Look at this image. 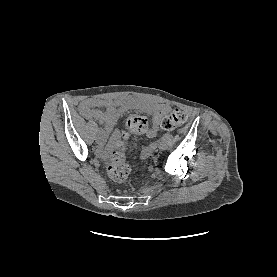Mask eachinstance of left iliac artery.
I'll return each instance as SVG.
<instances>
[{
	"label": "left iliac artery",
	"instance_id": "1",
	"mask_svg": "<svg viewBox=\"0 0 277 277\" xmlns=\"http://www.w3.org/2000/svg\"><path fill=\"white\" fill-rule=\"evenodd\" d=\"M170 137L169 136H164L162 139H161V142H165V143H168L170 142Z\"/></svg>",
	"mask_w": 277,
	"mask_h": 277
}]
</instances>
